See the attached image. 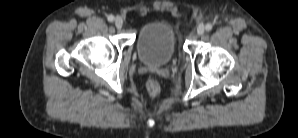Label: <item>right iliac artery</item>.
Segmentation results:
<instances>
[{"instance_id": "right-iliac-artery-1", "label": "right iliac artery", "mask_w": 298, "mask_h": 138, "mask_svg": "<svg viewBox=\"0 0 298 138\" xmlns=\"http://www.w3.org/2000/svg\"><path fill=\"white\" fill-rule=\"evenodd\" d=\"M107 19H108L109 22H113L114 21V16L113 15H109Z\"/></svg>"}]
</instances>
